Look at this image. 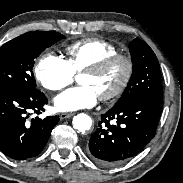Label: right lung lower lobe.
Listing matches in <instances>:
<instances>
[{
  "instance_id": "1",
  "label": "right lung lower lobe",
  "mask_w": 183,
  "mask_h": 183,
  "mask_svg": "<svg viewBox=\"0 0 183 183\" xmlns=\"http://www.w3.org/2000/svg\"><path fill=\"white\" fill-rule=\"evenodd\" d=\"M48 103L46 96L31 87L0 89V151L15 160L37 156L47 143L58 116L36 117Z\"/></svg>"
}]
</instances>
